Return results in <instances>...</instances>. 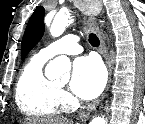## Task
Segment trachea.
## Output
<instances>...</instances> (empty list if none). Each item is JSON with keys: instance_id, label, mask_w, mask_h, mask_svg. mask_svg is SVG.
I'll list each match as a JSON object with an SVG mask.
<instances>
[{"instance_id": "obj_1", "label": "trachea", "mask_w": 145, "mask_h": 124, "mask_svg": "<svg viewBox=\"0 0 145 124\" xmlns=\"http://www.w3.org/2000/svg\"><path fill=\"white\" fill-rule=\"evenodd\" d=\"M89 43H90L93 47H98L99 44H100V41H99L98 37H97L95 34L91 33V34L89 35Z\"/></svg>"}]
</instances>
